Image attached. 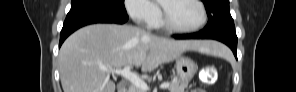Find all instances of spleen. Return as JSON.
<instances>
[{"instance_id":"spleen-1","label":"spleen","mask_w":296,"mask_h":92,"mask_svg":"<svg viewBox=\"0 0 296 92\" xmlns=\"http://www.w3.org/2000/svg\"><path fill=\"white\" fill-rule=\"evenodd\" d=\"M219 44V43H218ZM216 56L223 57V58H230V53L226 51L225 47L219 44L217 46L215 52L213 53Z\"/></svg>"}]
</instances>
